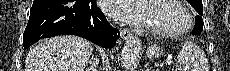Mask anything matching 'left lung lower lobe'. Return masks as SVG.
<instances>
[{
	"label": "left lung lower lobe",
	"mask_w": 230,
	"mask_h": 71,
	"mask_svg": "<svg viewBox=\"0 0 230 71\" xmlns=\"http://www.w3.org/2000/svg\"><path fill=\"white\" fill-rule=\"evenodd\" d=\"M195 21H196L195 22V27H194V30H193L192 34L197 35L203 29V20H202L201 16H196Z\"/></svg>",
	"instance_id": "obj_1"
}]
</instances>
